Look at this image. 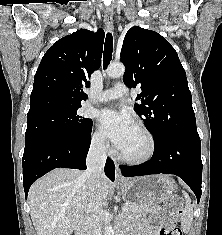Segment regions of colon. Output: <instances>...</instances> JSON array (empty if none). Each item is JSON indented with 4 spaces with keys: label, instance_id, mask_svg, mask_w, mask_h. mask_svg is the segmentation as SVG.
Listing matches in <instances>:
<instances>
[{
    "label": "colon",
    "instance_id": "obj_1",
    "mask_svg": "<svg viewBox=\"0 0 222 235\" xmlns=\"http://www.w3.org/2000/svg\"><path fill=\"white\" fill-rule=\"evenodd\" d=\"M182 200L179 197H171L164 203L163 219L165 227L160 235H182V232L175 227L177 218L182 214Z\"/></svg>",
    "mask_w": 222,
    "mask_h": 235
}]
</instances>
